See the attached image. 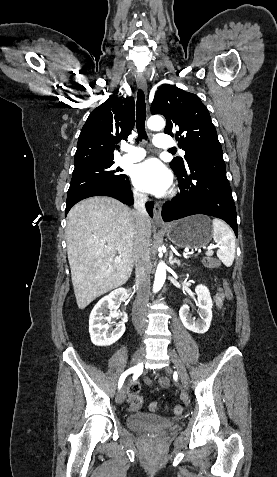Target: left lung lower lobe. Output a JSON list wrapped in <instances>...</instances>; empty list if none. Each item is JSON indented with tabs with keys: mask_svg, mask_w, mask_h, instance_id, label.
I'll list each match as a JSON object with an SVG mask.
<instances>
[{
	"mask_svg": "<svg viewBox=\"0 0 277 477\" xmlns=\"http://www.w3.org/2000/svg\"><path fill=\"white\" fill-rule=\"evenodd\" d=\"M188 166L174 170L180 192L162 209L164 221L205 214L226 221L238 235L236 208L226 177L222 150L190 156Z\"/></svg>",
	"mask_w": 277,
	"mask_h": 477,
	"instance_id": "1",
	"label": "left lung lower lobe"
}]
</instances>
